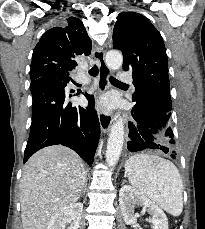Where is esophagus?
I'll use <instances>...</instances> for the list:
<instances>
[{
    "label": "esophagus",
    "mask_w": 205,
    "mask_h": 229,
    "mask_svg": "<svg viewBox=\"0 0 205 229\" xmlns=\"http://www.w3.org/2000/svg\"><path fill=\"white\" fill-rule=\"evenodd\" d=\"M93 56L95 57L99 65V82H98V93L99 95L105 92L109 88V76L110 70L104 59V51L95 49L93 51ZM98 118L101 129L103 132H108L111 123L112 116L109 112L105 111L103 108H98Z\"/></svg>",
    "instance_id": "1"
}]
</instances>
